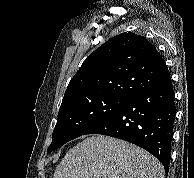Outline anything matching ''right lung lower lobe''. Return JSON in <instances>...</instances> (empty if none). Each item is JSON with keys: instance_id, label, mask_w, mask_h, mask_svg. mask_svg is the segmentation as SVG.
Masks as SVG:
<instances>
[{"instance_id": "98d812e1", "label": "right lung lower lobe", "mask_w": 194, "mask_h": 178, "mask_svg": "<svg viewBox=\"0 0 194 178\" xmlns=\"http://www.w3.org/2000/svg\"><path fill=\"white\" fill-rule=\"evenodd\" d=\"M172 81L129 98L110 115L87 130L136 144L159 159L169 171L173 123L176 115Z\"/></svg>"}]
</instances>
